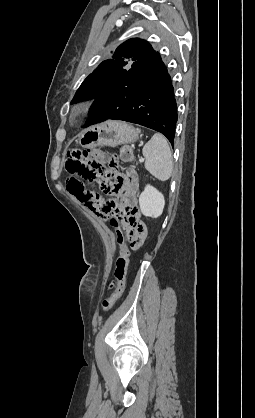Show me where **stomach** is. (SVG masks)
<instances>
[{
    "label": "stomach",
    "mask_w": 255,
    "mask_h": 418,
    "mask_svg": "<svg viewBox=\"0 0 255 418\" xmlns=\"http://www.w3.org/2000/svg\"><path fill=\"white\" fill-rule=\"evenodd\" d=\"M139 133V129L132 125L110 121L84 130L79 138V143L84 148L102 145L117 146L137 141Z\"/></svg>",
    "instance_id": "stomach-1"
}]
</instances>
